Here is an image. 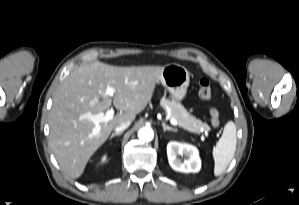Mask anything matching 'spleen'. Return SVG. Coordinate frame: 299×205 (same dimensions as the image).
I'll return each instance as SVG.
<instances>
[{
	"label": "spleen",
	"mask_w": 299,
	"mask_h": 205,
	"mask_svg": "<svg viewBox=\"0 0 299 205\" xmlns=\"http://www.w3.org/2000/svg\"><path fill=\"white\" fill-rule=\"evenodd\" d=\"M236 143V126L233 121H229L212 151L215 176L221 175L230 164L236 151Z\"/></svg>",
	"instance_id": "spleen-1"
}]
</instances>
